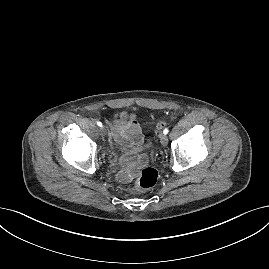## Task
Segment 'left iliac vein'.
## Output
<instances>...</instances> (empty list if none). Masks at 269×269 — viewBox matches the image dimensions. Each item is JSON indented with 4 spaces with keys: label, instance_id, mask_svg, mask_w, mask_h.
Wrapping results in <instances>:
<instances>
[{
    "label": "left iliac vein",
    "instance_id": "left-iliac-vein-1",
    "mask_svg": "<svg viewBox=\"0 0 269 269\" xmlns=\"http://www.w3.org/2000/svg\"><path fill=\"white\" fill-rule=\"evenodd\" d=\"M159 138H160V142H161V144H162L163 146H166L167 143H168V137L166 136V134L161 133V134L159 135Z\"/></svg>",
    "mask_w": 269,
    "mask_h": 269
}]
</instances>
